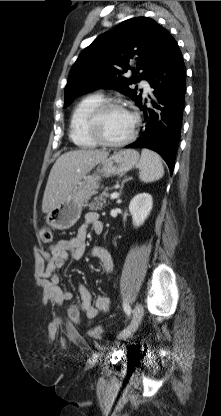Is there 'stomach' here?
Masks as SVG:
<instances>
[{"label": "stomach", "instance_id": "obj_1", "mask_svg": "<svg viewBox=\"0 0 221 416\" xmlns=\"http://www.w3.org/2000/svg\"><path fill=\"white\" fill-rule=\"evenodd\" d=\"M138 161L139 153L133 149H126L115 152L100 162L94 174H86L68 197L48 213L46 223L57 230L71 228L80 218L88 200L97 192L101 176L124 174L131 170Z\"/></svg>", "mask_w": 221, "mask_h": 416}]
</instances>
